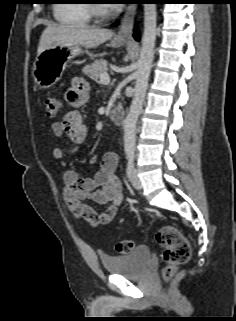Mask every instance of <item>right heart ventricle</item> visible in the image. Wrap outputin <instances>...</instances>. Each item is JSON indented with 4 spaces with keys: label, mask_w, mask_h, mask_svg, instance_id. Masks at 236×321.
Segmentation results:
<instances>
[{
    "label": "right heart ventricle",
    "mask_w": 236,
    "mask_h": 321,
    "mask_svg": "<svg viewBox=\"0 0 236 321\" xmlns=\"http://www.w3.org/2000/svg\"><path fill=\"white\" fill-rule=\"evenodd\" d=\"M88 0H62L54 7V18L62 25L82 26L90 23Z\"/></svg>",
    "instance_id": "1"
}]
</instances>
